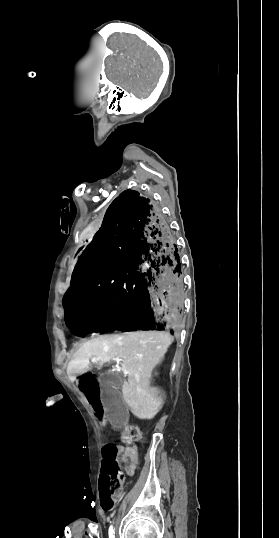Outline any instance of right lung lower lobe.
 Returning <instances> with one entry per match:
<instances>
[{
  "label": "right lung lower lobe",
  "instance_id": "1",
  "mask_svg": "<svg viewBox=\"0 0 279 538\" xmlns=\"http://www.w3.org/2000/svg\"><path fill=\"white\" fill-rule=\"evenodd\" d=\"M183 293L180 257L166 218L149 198L126 190L79 258L63 305L78 336L114 330L174 334Z\"/></svg>",
  "mask_w": 279,
  "mask_h": 538
}]
</instances>
